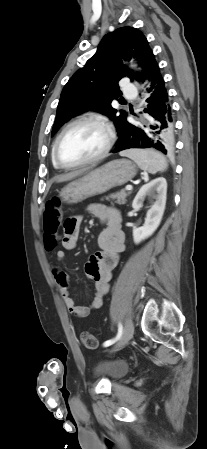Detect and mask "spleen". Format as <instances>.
Here are the masks:
<instances>
[{"mask_svg":"<svg viewBox=\"0 0 207 449\" xmlns=\"http://www.w3.org/2000/svg\"><path fill=\"white\" fill-rule=\"evenodd\" d=\"M120 155L132 159L140 169L152 174L163 172L168 167L165 157L152 149H129L120 152Z\"/></svg>","mask_w":207,"mask_h":449,"instance_id":"1","label":"spleen"}]
</instances>
